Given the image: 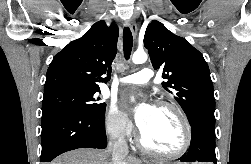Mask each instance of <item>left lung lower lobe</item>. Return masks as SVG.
<instances>
[{
    "label": "left lung lower lobe",
    "instance_id": "obj_1",
    "mask_svg": "<svg viewBox=\"0 0 251 164\" xmlns=\"http://www.w3.org/2000/svg\"><path fill=\"white\" fill-rule=\"evenodd\" d=\"M191 144L182 162H213L217 164L215 155V119L199 116L191 123Z\"/></svg>",
    "mask_w": 251,
    "mask_h": 164
}]
</instances>
